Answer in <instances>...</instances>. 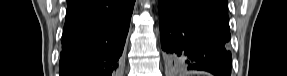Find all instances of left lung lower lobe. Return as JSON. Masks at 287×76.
<instances>
[{"label": "left lung lower lobe", "instance_id": "left-lung-lower-lobe-1", "mask_svg": "<svg viewBox=\"0 0 287 76\" xmlns=\"http://www.w3.org/2000/svg\"><path fill=\"white\" fill-rule=\"evenodd\" d=\"M161 46L173 64L230 76L227 9L210 0H159Z\"/></svg>", "mask_w": 287, "mask_h": 76}]
</instances>
